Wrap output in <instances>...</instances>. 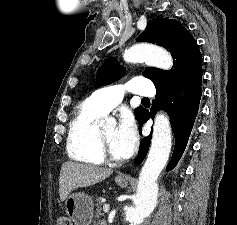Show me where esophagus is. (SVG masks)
<instances>
[{
    "instance_id": "34e87169",
    "label": "esophagus",
    "mask_w": 237,
    "mask_h": 225,
    "mask_svg": "<svg viewBox=\"0 0 237 225\" xmlns=\"http://www.w3.org/2000/svg\"><path fill=\"white\" fill-rule=\"evenodd\" d=\"M120 176L121 177H128L126 174H121Z\"/></svg>"
}]
</instances>
